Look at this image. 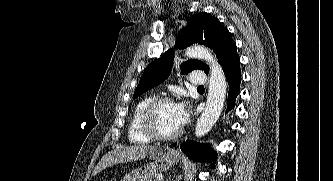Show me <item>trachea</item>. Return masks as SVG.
<instances>
[{
	"instance_id": "1",
	"label": "trachea",
	"mask_w": 333,
	"mask_h": 181,
	"mask_svg": "<svg viewBox=\"0 0 333 181\" xmlns=\"http://www.w3.org/2000/svg\"><path fill=\"white\" fill-rule=\"evenodd\" d=\"M197 89H204V86H198Z\"/></svg>"
}]
</instances>
